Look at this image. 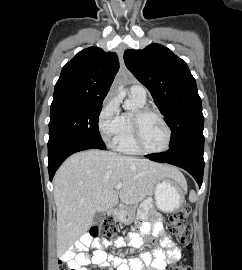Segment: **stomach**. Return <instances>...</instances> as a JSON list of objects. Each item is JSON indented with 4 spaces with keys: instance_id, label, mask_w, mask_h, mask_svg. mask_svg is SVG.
<instances>
[{
    "instance_id": "1",
    "label": "stomach",
    "mask_w": 242,
    "mask_h": 270,
    "mask_svg": "<svg viewBox=\"0 0 242 270\" xmlns=\"http://www.w3.org/2000/svg\"><path fill=\"white\" fill-rule=\"evenodd\" d=\"M186 184L174 179H162L154 187V198L156 206L165 213L174 212L179 209L184 201ZM120 217H125L122 211Z\"/></svg>"
}]
</instances>
